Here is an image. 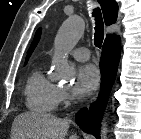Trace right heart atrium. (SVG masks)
Here are the masks:
<instances>
[{"label": "right heart atrium", "instance_id": "right-heart-atrium-1", "mask_svg": "<svg viewBox=\"0 0 141 139\" xmlns=\"http://www.w3.org/2000/svg\"><path fill=\"white\" fill-rule=\"evenodd\" d=\"M70 101L69 93L64 89H59L58 105H66Z\"/></svg>", "mask_w": 141, "mask_h": 139}]
</instances>
